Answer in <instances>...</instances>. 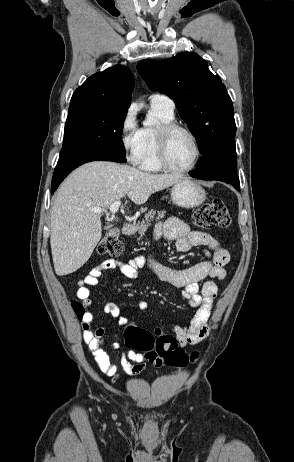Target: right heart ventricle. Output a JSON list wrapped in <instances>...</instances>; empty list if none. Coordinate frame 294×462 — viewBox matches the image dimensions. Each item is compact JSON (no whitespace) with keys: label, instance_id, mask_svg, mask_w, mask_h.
<instances>
[{"label":"right heart ventricle","instance_id":"right-heart-ventricle-1","mask_svg":"<svg viewBox=\"0 0 294 462\" xmlns=\"http://www.w3.org/2000/svg\"><path fill=\"white\" fill-rule=\"evenodd\" d=\"M151 115L158 121V125L155 127L145 126L140 129L141 153L138 166L143 171L157 173L162 171L157 156V131L162 124L173 122L174 113L151 107Z\"/></svg>","mask_w":294,"mask_h":462}]
</instances>
